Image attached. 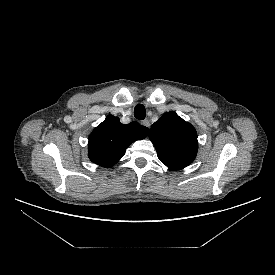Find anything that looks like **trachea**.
I'll use <instances>...</instances> for the list:
<instances>
[{"label": "trachea", "mask_w": 275, "mask_h": 275, "mask_svg": "<svg viewBox=\"0 0 275 275\" xmlns=\"http://www.w3.org/2000/svg\"><path fill=\"white\" fill-rule=\"evenodd\" d=\"M134 116L138 120H144L146 117V110L142 104H139L134 109Z\"/></svg>", "instance_id": "trachea-1"}]
</instances>
